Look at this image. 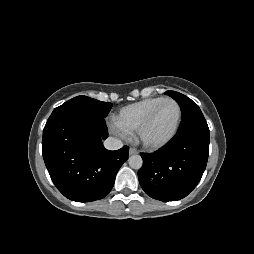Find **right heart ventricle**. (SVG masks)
Here are the masks:
<instances>
[{"instance_id":"right-heart-ventricle-1","label":"right heart ventricle","mask_w":254,"mask_h":254,"mask_svg":"<svg viewBox=\"0 0 254 254\" xmlns=\"http://www.w3.org/2000/svg\"><path fill=\"white\" fill-rule=\"evenodd\" d=\"M163 99L151 97L127 105L119 110L115 120L125 130L136 131L148 113Z\"/></svg>"}]
</instances>
